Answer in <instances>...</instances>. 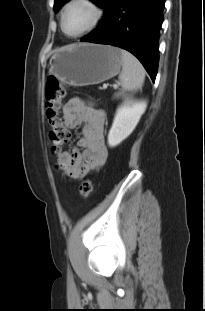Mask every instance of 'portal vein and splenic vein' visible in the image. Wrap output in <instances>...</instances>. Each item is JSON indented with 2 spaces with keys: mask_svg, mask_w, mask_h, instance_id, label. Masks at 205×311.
<instances>
[{
  "mask_svg": "<svg viewBox=\"0 0 205 311\" xmlns=\"http://www.w3.org/2000/svg\"><path fill=\"white\" fill-rule=\"evenodd\" d=\"M116 87H117V85L115 84V85H114V88H116Z\"/></svg>",
  "mask_w": 205,
  "mask_h": 311,
  "instance_id": "18ae733b",
  "label": "portal vein and splenic vein"
}]
</instances>
